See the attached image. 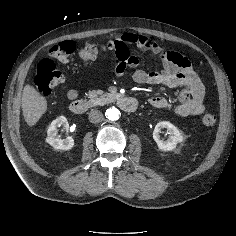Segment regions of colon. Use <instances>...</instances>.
<instances>
[{
    "label": "colon",
    "mask_w": 236,
    "mask_h": 236,
    "mask_svg": "<svg viewBox=\"0 0 236 236\" xmlns=\"http://www.w3.org/2000/svg\"><path fill=\"white\" fill-rule=\"evenodd\" d=\"M114 49L115 52H121L122 48L115 42L107 44L86 43L78 52L79 58L83 63H90L101 53ZM75 51L73 41H64L52 46L49 50L51 58L65 61ZM64 82L63 74L56 69L51 59L42 60L37 67L35 84L40 93L49 95L56 87ZM202 124L207 128H212L217 122V117L213 113H205L201 118Z\"/></svg>",
    "instance_id": "colon-1"
}]
</instances>
